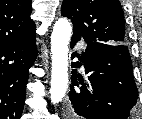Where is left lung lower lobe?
Returning a JSON list of instances; mask_svg holds the SVG:
<instances>
[{
    "mask_svg": "<svg viewBox=\"0 0 142 119\" xmlns=\"http://www.w3.org/2000/svg\"><path fill=\"white\" fill-rule=\"evenodd\" d=\"M81 37L73 34L71 47ZM79 56V54H76ZM72 67L85 68V79L72 70L69 99L76 115L84 119H126L138 99L127 46L87 43Z\"/></svg>",
    "mask_w": 142,
    "mask_h": 119,
    "instance_id": "left-lung-lower-lobe-1",
    "label": "left lung lower lobe"
}]
</instances>
